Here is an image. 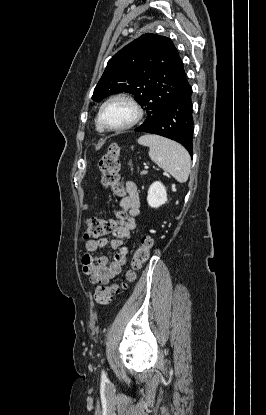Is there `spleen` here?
I'll return each instance as SVG.
<instances>
[{"instance_id": "spleen-1", "label": "spleen", "mask_w": 266, "mask_h": 415, "mask_svg": "<svg viewBox=\"0 0 266 415\" xmlns=\"http://www.w3.org/2000/svg\"><path fill=\"white\" fill-rule=\"evenodd\" d=\"M140 145L149 147L150 158L179 183L188 180L191 158L179 143L158 135H143L138 139Z\"/></svg>"}]
</instances>
